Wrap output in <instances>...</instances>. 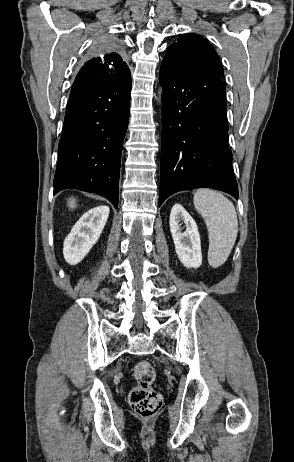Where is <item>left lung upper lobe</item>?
<instances>
[{
    "instance_id": "5c2ea615",
    "label": "left lung upper lobe",
    "mask_w": 294,
    "mask_h": 462,
    "mask_svg": "<svg viewBox=\"0 0 294 462\" xmlns=\"http://www.w3.org/2000/svg\"><path fill=\"white\" fill-rule=\"evenodd\" d=\"M162 63L207 79H220L223 67L214 47L203 37L184 34L166 50Z\"/></svg>"
}]
</instances>
